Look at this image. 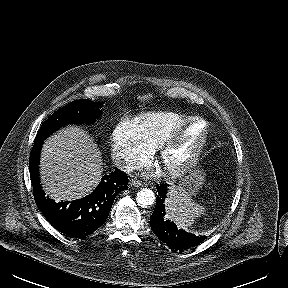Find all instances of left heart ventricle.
<instances>
[{"label": "left heart ventricle", "mask_w": 288, "mask_h": 288, "mask_svg": "<svg viewBox=\"0 0 288 288\" xmlns=\"http://www.w3.org/2000/svg\"><path fill=\"white\" fill-rule=\"evenodd\" d=\"M203 125L194 123L188 127L185 133L180 137L176 144L167 154L163 165L173 166L183 161L192 151L195 144L201 137Z\"/></svg>", "instance_id": "obj_1"}]
</instances>
